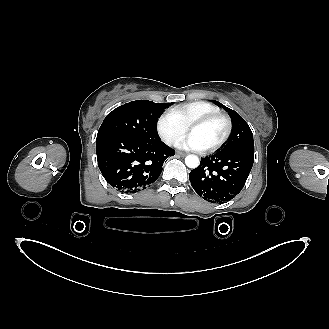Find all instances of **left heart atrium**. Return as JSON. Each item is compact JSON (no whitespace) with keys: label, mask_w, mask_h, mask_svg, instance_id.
<instances>
[{"label":"left heart atrium","mask_w":329,"mask_h":329,"mask_svg":"<svg viewBox=\"0 0 329 329\" xmlns=\"http://www.w3.org/2000/svg\"><path fill=\"white\" fill-rule=\"evenodd\" d=\"M178 147L186 150L202 151L204 150L201 142L196 136L189 134L183 138L179 143Z\"/></svg>","instance_id":"obj_1"}]
</instances>
